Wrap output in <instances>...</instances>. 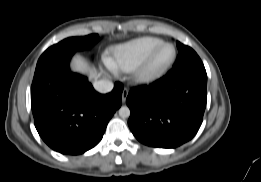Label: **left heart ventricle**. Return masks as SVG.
Returning a JSON list of instances; mask_svg holds the SVG:
<instances>
[{
    "mask_svg": "<svg viewBox=\"0 0 261 182\" xmlns=\"http://www.w3.org/2000/svg\"><path fill=\"white\" fill-rule=\"evenodd\" d=\"M173 55V49L170 46L164 47L161 52L157 55L153 62V67L158 68L166 64Z\"/></svg>",
    "mask_w": 261,
    "mask_h": 182,
    "instance_id": "obj_1",
    "label": "left heart ventricle"
}]
</instances>
